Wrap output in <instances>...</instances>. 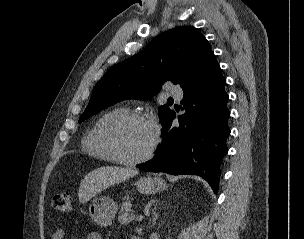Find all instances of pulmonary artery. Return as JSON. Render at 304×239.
Returning <instances> with one entry per match:
<instances>
[{
  "instance_id": "obj_1",
  "label": "pulmonary artery",
  "mask_w": 304,
  "mask_h": 239,
  "mask_svg": "<svg viewBox=\"0 0 304 239\" xmlns=\"http://www.w3.org/2000/svg\"><path fill=\"white\" fill-rule=\"evenodd\" d=\"M169 94L176 99H180L183 96V91L180 88L172 87Z\"/></svg>"
}]
</instances>
